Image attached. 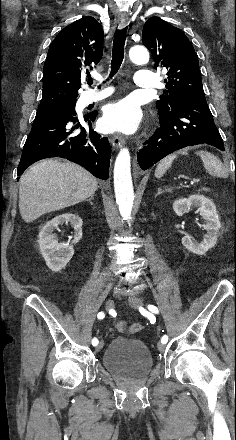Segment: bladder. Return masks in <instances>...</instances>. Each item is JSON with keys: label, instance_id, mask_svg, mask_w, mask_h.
Wrapping results in <instances>:
<instances>
[{"label": "bladder", "instance_id": "obj_1", "mask_svg": "<svg viewBox=\"0 0 236 440\" xmlns=\"http://www.w3.org/2000/svg\"><path fill=\"white\" fill-rule=\"evenodd\" d=\"M103 364L109 373L124 378L130 374L148 373L153 359L149 348L141 340L116 337L104 352Z\"/></svg>", "mask_w": 236, "mask_h": 440}]
</instances>
